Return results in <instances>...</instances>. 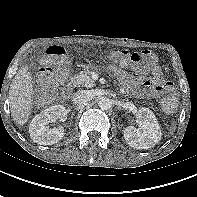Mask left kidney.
<instances>
[{"label": "left kidney", "mask_w": 197, "mask_h": 197, "mask_svg": "<svg viewBox=\"0 0 197 197\" xmlns=\"http://www.w3.org/2000/svg\"><path fill=\"white\" fill-rule=\"evenodd\" d=\"M139 128L128 126L124 129V139L135 149H149L161 140V129L154 113L146 107L139 108L136 114Z\"/></svg>", "instance_id": "5707ae66"}]
</instances>
